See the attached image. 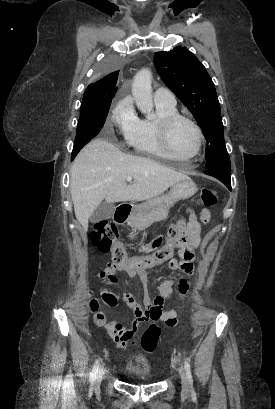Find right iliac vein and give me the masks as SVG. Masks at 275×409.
<instances>
[{"label": "right iliac vein", "instance_id": "1", "mask_svg": "<svg viewBox=\"0 0 275 409\" xmlns=\"http://www.w3.org/2000/svg\"><path fill=\"white\" fill-rule=\"evenodd\" d=\"M103 374H104V368L101 367V368L99 369V373H98V375L96 376V379H95V387H98V386L100 385V382H101V380H102Z\"/></svg>", "mask_w": 275, "mask_h": 409}]
</instances>
